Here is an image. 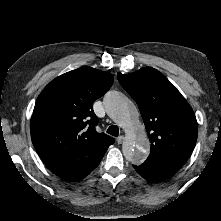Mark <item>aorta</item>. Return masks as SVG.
I'll list each match as a JSON object with an SVG mask.
<instances>
[{
	"mask_svg": "<svg viewBox=\"0 0 221 221\" xmlns=\"http://www.w3.org/2000/svg\"><path fill=\"white\" fill-rule=\"evenodd\" d=\"M103 103L107 114L125 130L126 137L122 145L123 155L133 164H141L149 154L150 143L145 128L139 120L136 106L117 91L107 92Z\"/></svg>",
	"mask_w": 221,
	"mask_h": 221,
	"instance_id": "1",
	"label": "aorta"
}]
</instances>
